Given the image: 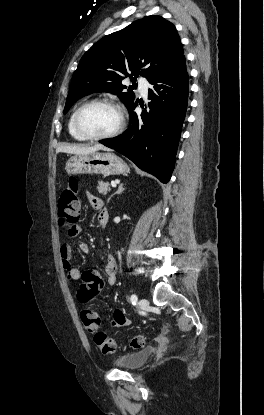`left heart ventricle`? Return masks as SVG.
<instances>
[{"mask_svg": "<svg viewBox=\"0 0 264 415\" xmlns=\"http://www.w3.org/2000/svg\"><path fill=\"white\" fill-rule=\"evenodd\" d=\"M119 123V113L116 109L98 105L85 109L80 117L84 131L92 135H102L112 132Z\"/></svg>", "mask_w": 264, "mask_h": 415, "instance_id": "left-heart-ventricle-1", "label": "left heart ventricle"}]
</instances>
